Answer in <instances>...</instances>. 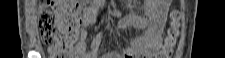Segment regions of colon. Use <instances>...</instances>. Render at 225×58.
I'll use <instances>...</instances> for the list:
<instances>
[{"label": "colon", "instance_id": "obj_1", "mask_svg": "<svg viewBox=\"0 0 225 58\" xmlns=\"http://www.w3.org/2000/svg\"><path fill=\"white\" fill-rule=\"evenodd\" d=\"M81 7L79 1H43L40 10L39 27L43 42L49 47L52 58H75L74 45L79 36ZM179 34L178 15L169 31L164 54H171Z\"/></svg>", "mask_w": 225, "mask_h": 58}]
</instances>
